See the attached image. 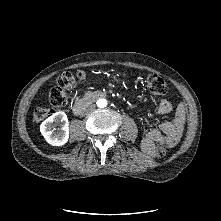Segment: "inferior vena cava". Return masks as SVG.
I'll return each mask as SVG.
<instances>
[{
  "mask_svg": "<svg viewBox=\"0 0 221 221\" xmlns=\"http://www.w3.org/2000/svg\"><path fill=\"white\" fill-rule=\"evenodd\" d=\"M93 110H95V105H89L87 108H86V110H85V112L86 113H88V112H91V111H93Z\"/></svg>",
  "mask_w": 221,
  "mask_h": 221,
  "instance_id": "obj_1",
  "label": "inferior vena cava"
}]
</instances>
